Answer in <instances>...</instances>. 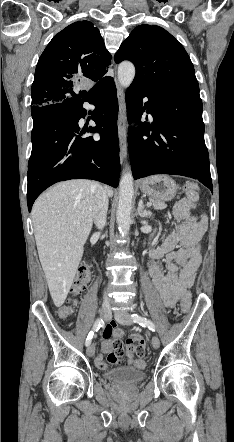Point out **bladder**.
<instances>
[{
  "mask_svg": "<svg viewBox=\"0 0 234 442\" xmlns=\"http://www.w3.org/2000/svg\"><path fill=\"white\" fill-rule=\"evenodd\" d=\"M147 374L143 368H135L130 366L118 367L108 371L105 374L106 379L117 384H136L143 381Z\"/></svg>",
  "mask_w": 234,
  "mask_h": 442,
  "instance_id": "bladder-1",
  "label": "bladder"
}]
</instances>
